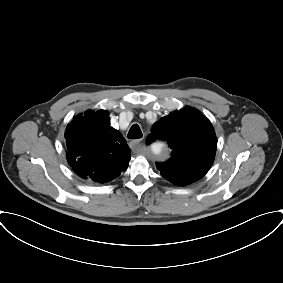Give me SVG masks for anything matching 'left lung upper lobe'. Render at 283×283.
Instances as JSON below:
<instances>
[{
	"instance_id": "left-lung-upper-lobe-1",
	"label": "left lung upper lobe",
	"mask_w": 283,
	"mask_h": 283,
	"mask_svg": "<svg viewBox=\"0 0 283 283\" xmlns=\"http://www.w3.org/2000/svg\"><path fill=\"white\" fill-rule=\"evenodd\" d=\"M157 137L168 142L172 157L156 167L173 184L183 186L199 180L213 163L217 139L210 121L196 109L187 107L162 117L147 141Z\"/></svg>"
}]
</instances>
